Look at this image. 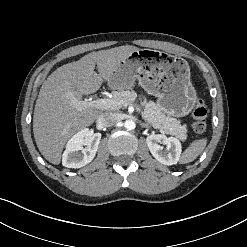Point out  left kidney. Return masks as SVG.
Wrapping results in <instances>:
<instances>
[{"label": "left kidney", "instance_id": "left-kidney-1", "mask_svg": "<svg viewBox=\"0 0 247 247\" xmlns=\"http://www.w3.org/2000/svg\"><path fill=\"white\" fill-rule=\"evenodd\" d=\"M146 143L152 156L161 164L170 166L178 163L182 147L177 138L152 134L146 138ZM160 144L165 145L166 149Z\"/></svg>", "mask_w": 247, "mask_h": 247}]
</instances>
